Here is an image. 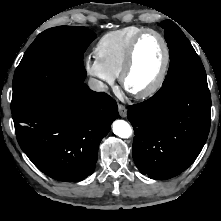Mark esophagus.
<instances>
[{"instance_id":"34e87169","label":"esophagus","mask_w":221,"mask_h":221,"mask_svg":"<svg viewBox=\"0 0 221 221\" xmlns=\"http://www.w3.org/2000/svg\"><path fill=\"white\" fill-rule=\"evenodd\" d=\"M118 111L121 117H126L127 116V109L125 108L124 105L118 104Z\"/></svg>"}]
</instances>
